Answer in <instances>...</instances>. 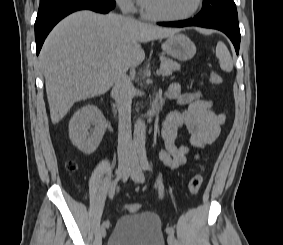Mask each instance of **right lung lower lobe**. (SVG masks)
<instances>
[{
  "label": "right lung lower lobe",
  "mask_w": 283,
  "mask_h": 245,
  "mask_svg": "<svg viewBox=\"0 0 283 245\" xmlns=\"http://www.w3.org/2000/svg\"><path fill=\"white\" fill-rule=\"evenodd\" d=\"M115 7L114 0H49L40 3L35 21L37 54L52 28L65 16L78 10L89 9L108 13Z\"/></svg>",
  "instance_id": "1"
}]
</instances>
